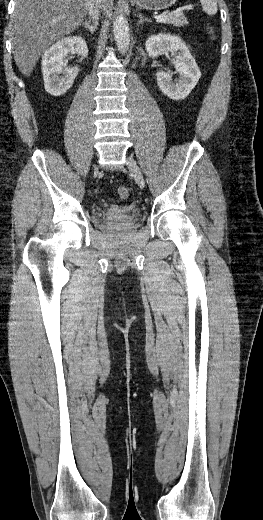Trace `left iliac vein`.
<instances>
[{"instance_id":"left-iliac-vein-1","label":"left iliac vein","mask_w":263,"mask_h":520,"mask_svg":"<svg viewBox=\"0 0 263 520\" xmlns=\"http://www.w3.org/2000/svg\"><path fill=\"white\" fill-rule=\"evenodd\" d=\"M126 164H127V167L129 168L130 172L133 174L134 179H135L136 183L138 184V186L141 189H143L145 187L144 177H143V174H142L139 166L137 165L136 161L134 160V158L132 156H128Z\"/></svg>"}]
</instances>
